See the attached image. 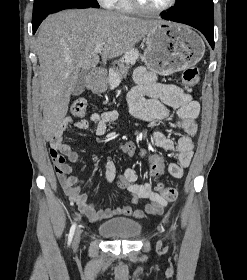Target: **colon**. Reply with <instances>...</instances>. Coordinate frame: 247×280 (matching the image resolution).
<instances>
[{"mask_svg": "<svg viewBox=\"0 0 247 280\" xmlns=\"http://www.w3.org/2000/svg\"><path fill=\"white\" fill-rule=\"evenodd\" d=\"M182 81L187 89H192L199 82V70L196 67H189L182 73ZM87 110V101L85 99H77L71 106V113L75 117H82ZM122 151L128 156L140 155L147 157L151 163V175L159 177L164 172V160L162 157L149 153L146 149L139 147L135 142L128 141L121 146ZM56 172L61 176H68L71 172V167L66 163L64 156L50 149ZM118 189L120 191H127L131 185L130 180L126 176H118L116 178ZM158 191L162 197L167 201H173L177 197V190L171 186H165L159 183L157 186Z\"/></svg>", "mask_w": 247, "mask_h": 280, "instance_id": "colon-1", "label": "colon"}]
</instances>
